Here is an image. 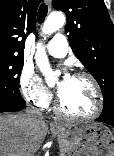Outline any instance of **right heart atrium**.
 <instances>
[{
    "instance_id": "1",
    "label": "right heart atrium",
    "mask_w": 114,
    "mask_h": 156,
    "mask_svg": "<svg viewBox=\"0 0 114 156\" xmlns=\"http://www.w3.org/2000/svg\"><path fill=\"white\" fill-rule=\"evenodd\" d=\"M19 89L24 99L38 108H46L51 101V94L29 67H24L20 73Z\"/></svg>"
}]
</instances>
